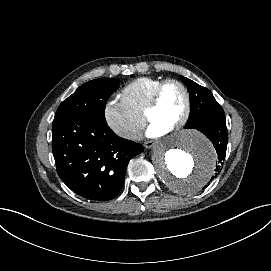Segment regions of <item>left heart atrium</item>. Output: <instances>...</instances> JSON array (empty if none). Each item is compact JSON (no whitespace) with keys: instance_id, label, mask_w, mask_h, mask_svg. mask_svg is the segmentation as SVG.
Returning <instances> with one entry per match:
<instances>
[{"instance_id":"1","label":"left heart atrium","mask_w":271,"mask_h":271,"mask_svg":"<svg viewBox=\"0 0 271 271\" xmlns=\"http://www.w3.org/2000/svg\"><path fill=\"white\" fill-rule=\"evenodd\" d=\"M167 133L166 130L160 128L156 124L150 123L147 131H146V136L149 138H158Z\"/></svg>"}]
</instances>
